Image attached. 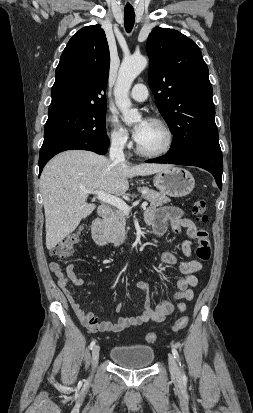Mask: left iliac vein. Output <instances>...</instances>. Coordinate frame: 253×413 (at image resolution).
<instances>
[{"label":"left iliac vein","instance_id":"obj_1","mask_svg":"<svg viewBox=\"0 0 253 413\" xmlns=\"http://www.w3.org/2000/svg\"><path fill=\"white\" fill-rule=\"evenodd\" d=\"M168 364L171 376L174 380L179 381L181 379V374L175 357L172 354L168 356Z\"/></svg>","mask_w":253,"mask_h":413}]
</instances>
